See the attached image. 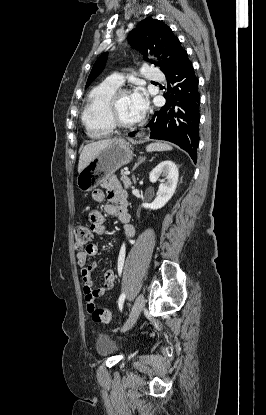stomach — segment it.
<instances>
[{"label": "stomach", "mask_w": 266, "mask_h": 415, "mask_svg": "<svg viewBox=\"0 0 266 415\" xmlns=\"http://www.w3.org/2000/svg\"><path fill=\"white\" fill-rule=\"evenodd\" d=\"M132 157L130 144L126 140L114 141L102 149L78 174V188L83 192L92 191L116 170L128 164Z\"/></svg>", "instance_id": "obj_1"}]
</instances>
